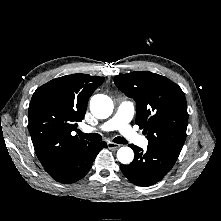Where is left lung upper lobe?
Here are the masks:
<instances>
[{"label": "left lung upper lobe", "mask_w": 221, "mask_h": 221, "mask_svg": "<svg viewBox=\"0 0 221 221\" xmlns=\"http://www.w3.org/2000/svg\"><path fill=\"white\" fill-rule=\"evenodd\" d=\"M136 102V124L147 134L148 147L179 156L186 139L187 104L181 88L159 74L134 71L114 78Z\"/></svg>", "instance_id": "5c2ea615"}]
</instances>
